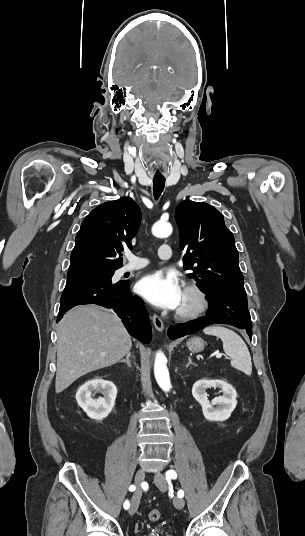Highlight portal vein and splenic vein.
<instances>
[{
    "mask_svg": "<svg viewBox=\"0 0 305 536\" xmlns=\"http://www.w3.org/2000/svg\"><path fill=\"white\" fill-rule=\"evenodd\" d=\"M222 354H216V358H221Z\"/></svg>",
    "mask_w": 305,
    "mask_h": 536,
    "instance_id": "obj_1",
    "label": "portal vein and splenic vein"
}]
</instances>
